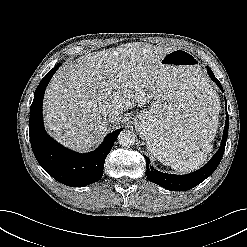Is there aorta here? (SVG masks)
<instances>
[{
    "label": "aorta",
    "mask_w": 247,
    "mask_h": 247,
    "mask_svg": "<svg viewBox=\"0 0 247 247\" xmlns=\"http://www.w3.org/2000/svg\"><path fill=\"white\" fill-rule=\"evenodd\" d=\"M118 143L123 147H129L135 143V134L130 130L121 131L118 135Z\"/></svg>",
    "instance_id": "1"
}]
</instances>
